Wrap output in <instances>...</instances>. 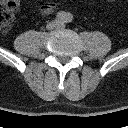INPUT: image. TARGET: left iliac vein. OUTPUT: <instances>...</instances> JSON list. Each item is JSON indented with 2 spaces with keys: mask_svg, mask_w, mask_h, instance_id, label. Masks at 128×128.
<instances>
[{
  "mask_svg": "<svg viewBox=\"0 0 128 128\" xmlns=\"http://www.w3.org/2000/svg\"><path fill=\"white\" fill-rule=\"evenodd\" d=\"M58 26H59L60 28H63L65 25H64L63 22H59Z\"/></svg>",
  "mask_w": 128,
  "mask_h": 128,
  "instance_id": "left-iliac-vein-1",
  "label": "left iliac vein"
}]
</instances>
